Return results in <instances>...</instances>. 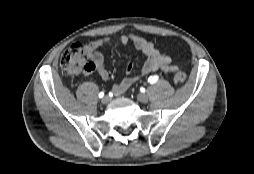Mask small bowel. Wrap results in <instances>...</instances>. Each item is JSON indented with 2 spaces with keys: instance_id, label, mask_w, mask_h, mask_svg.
Listing matches in <instances>:
<instances>
[{
  "instance_id": "1",
  "label": "small bowel",
  "mask_w": 254,
  "mask_h": 174,
  "mask_svg": "<svg viewBox=\"0 0 254 174\" xmlns=\"http://www.w3.org/2000/svg\"><path fill=\"white\" fill-rule=\"evenodd\" d=\"M118 42L122 45L132 44L144 55L145 62L141 69V75L153 73L158 70L166 73L177 70V66L173 64L172 59L167 54L160 52L152 42L147 41L138 35H122L119 37ZM113 43V39L103 38L92 41L86 45L87 53L94 65L92 71L96 72L103 80H108L110 78V72L105 65L101 49L110 46ZM133 68L132 64L126 66L127 76L120 83L115 84L112 87V92L115 95H122L136 82L137 77L131 75Z\"/></svg>"
}]
</instances>
